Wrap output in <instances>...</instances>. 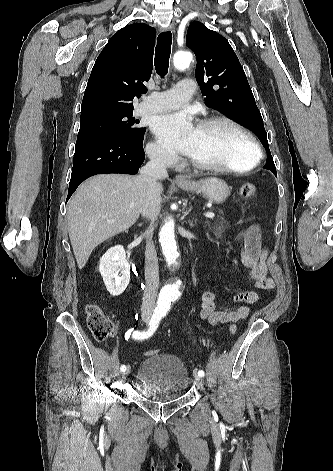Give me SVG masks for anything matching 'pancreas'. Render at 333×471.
Here are the masks:
<instances>
[{
  "instance_id": "obj_1",
  "label": "pancreas",
  "mask_w": 333,
  "mask_h": 471,
  "mask_svg": "<svg viewBox=\"0 0 333 471\" xmlns=\"http://www.w3.org/2000/svg\"><path fill=\"white\" fill-rule=\"evenodd\" d=\"M208 229L216 235L222 234L228 227V222L220 217L214 223H207Z\"/></svg>"
}]
</instances>
